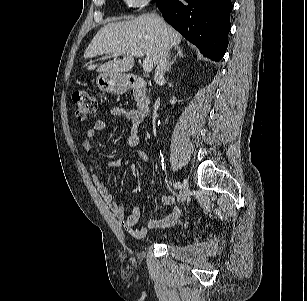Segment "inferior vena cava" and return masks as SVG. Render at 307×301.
Returning <instances> with one entry per match:
<instances>
[{
    "mask_svg": "<svg viewBox=\"0 0 307 301\" xmlns=\"http://www.w3.org/2000/svg\"><path fill=\"white\" fill-rule=\"evenodd\" d=\"M170 45L164 42L159 52L157 67L155 70L154 80L157 84L164 82V74L168 66Z\"/></svg>",
    "mask_w": 307,
    "mask_h": 301,
    "instance_id": "602c4592",
    "label": "inferior vena cava"
}]
</instances>
